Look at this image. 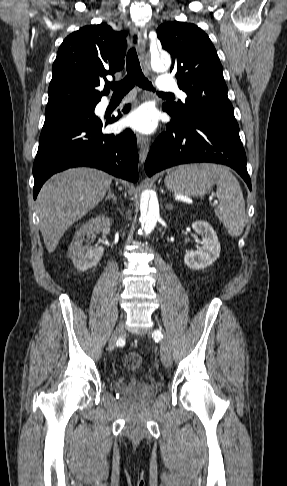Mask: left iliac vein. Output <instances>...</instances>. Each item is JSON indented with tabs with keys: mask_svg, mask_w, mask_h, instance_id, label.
Instances as JSON below:
<instances>
[{
	"mask_svg": "<svg viewBox=\"0 0 287 486\" xmlns=\"http://www.w3.org/2000/svg\"><path fill=\"white\" fill-rule=\"evenodd\" d=\"M155 337L161 339L162 363L166 368L172 365V355L168 339L163 335L161 329L154 331Z\"/></svg>",
	"mask_w": 287,
	"mask_h": 486,
	"instance_id": "4c4485c4",
	"label": "left iliac vein"
}]
</instances>
